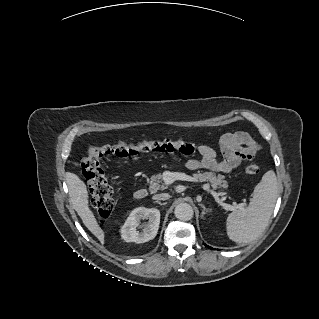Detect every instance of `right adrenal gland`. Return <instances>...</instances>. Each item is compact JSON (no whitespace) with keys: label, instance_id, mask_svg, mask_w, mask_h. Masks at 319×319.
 <instances>
[{"label":"right adrenal gland","instance_id":"2a0ac1e0","mask_svg":"<svg viewBox=\"0 0 319 319\" xmlns=\"http://www.w3.org/2000/svg\"><path fill=\"white\" fill-rule=\"evenodd\" d=\"M155 203H158L159 205H166V203H161V202H155Z\"/></svg>","mask_w":319,"mask_h":319}]
</instances>
